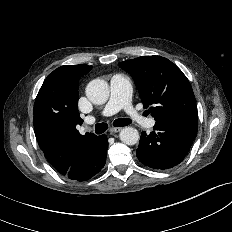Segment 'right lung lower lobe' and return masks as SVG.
<instances>
[{
  "mask_svg": "<svg viewBox=\"0 0 232 232\" xmlns=\"http://www.w3.org/2000/svg\"><path fill=\"white\" fill-rule=\"evenodd\" d=\"M107 148L106 135L95 136L86 144L78 147L71 167L61 174L77 181L90 179L104 167Z\"/></svg>",
  "mask_w": 232,
  "mask_h": 232,
  "instance_id": "right-lung-lower-lobe-1",
  "label": "right lung lower lobe"
}]
</instances>
